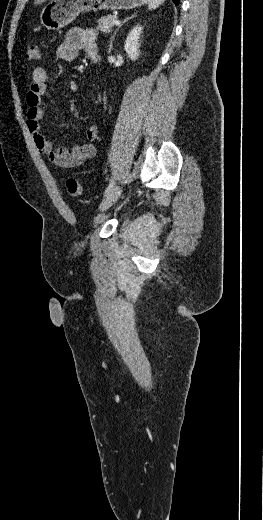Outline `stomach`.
<instances>
[{
	"instance_id": "obj_1",
	"label": "stomach",
	"mask_w": 263,
	"mask_h": 520,
	"mask_svg": "<svg viewBox=\"0 0 263 520\" xmlns=\"http://www.w3.org/2000/svg\"><path fill=\"white\" fill-rule=\"evenodd\" d=\"M148 0H51L42 10L41 24L48 30H59L86 11L133 9Z\"/></svg>"
}]
</instances>
